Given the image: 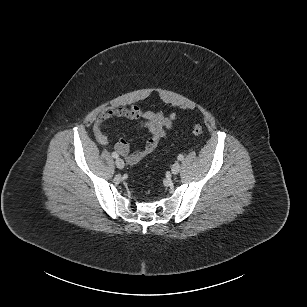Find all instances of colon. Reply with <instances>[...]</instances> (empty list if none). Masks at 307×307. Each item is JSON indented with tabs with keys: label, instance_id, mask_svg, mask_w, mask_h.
Segmentation results:
<instances>
[{
	"label": "colon",
	"instance_id": "5ec220e1",
	"mask_svg": "<svg viewBox=\"0 0 307 307\" xmlns=\"http://www.w3.org/2000/svg\"><path fill=\"white\" fill-rule=\"evenodd\" d=\"M192 133L196 136L203 134V127L199 124H196L192 127Z\"/></svg>",
	"mask_w": 307,
	"mask_h": 307
}]
</instances>
